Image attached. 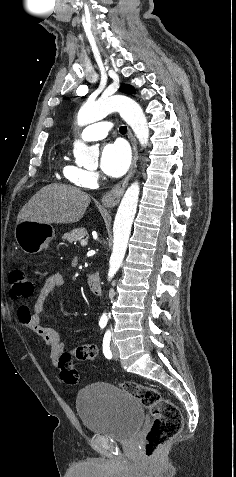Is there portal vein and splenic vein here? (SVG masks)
<instances>
[{
    "mask_svg": "<svg viewBox=\"0 0 236 477\" xmlns=\"http://www.w3.org/2000/svg\"><path fill=\"white\" fill-rule=\"evenodd\" d=\"M80 244H81V246H86V245H87V241H86V240H81Z\"/></svg>",
    "mask_w": 236,
    "mask_h": 477,
    "instance_id": "18ae733b",
    "label": "portal vein and splenic vein"
}]
</instances>
